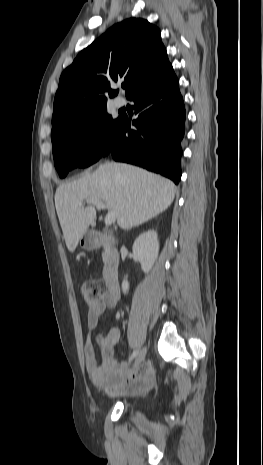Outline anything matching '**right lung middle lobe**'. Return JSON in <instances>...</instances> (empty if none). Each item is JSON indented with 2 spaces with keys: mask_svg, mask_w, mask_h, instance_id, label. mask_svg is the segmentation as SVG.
Returning <instances> with one entry per match:
<instances>
[{
  "mask_svg": "<svg viewBox=\"0 0 263 465\" xmlns=\"http://www.w3.org/2000/svg\"><path fill=\"white\" fill-rule=\"evenodd\" d=\"M120 118L113 119L106 103H102L72 111L52 123L53 156L59 176L64 178L71 169L99 160Z\"/></svg>",
  "mask_w": 263,
  "mask_h": 465,
  "instance_id": "1",
  "label": "right lung middle lobe"
}]
</instances>
